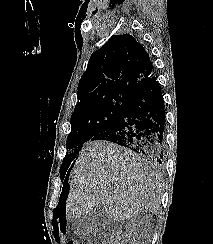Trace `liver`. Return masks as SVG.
<instances>
[{"label": "liver", "instance_id": "6515ba94", "mask_svg": "<svg viewBox=\"0 0 213 244\" xmlns=\"http://www.w3.org/2000/svg\"><path fill=\"white\" fill-rule=\"evenodd\" d=\"M161 195L160 177L148 161L107 141L90 142L71 175L66 215L73 220L102 207L111 221H125L143 210L156 214Z\"/></svg>", "mask_w": 213, "mask_h": 244}]
</instances>
